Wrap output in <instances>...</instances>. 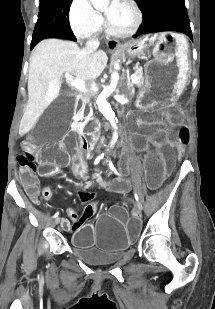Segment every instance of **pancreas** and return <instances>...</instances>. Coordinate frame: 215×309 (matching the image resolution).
I'll return each instance as SVG.
<instances>
[{
	"instance_id": "cf45deb5",
	"label": "pancreas",
	"mask_w": 215,
	"mask_h": 309,
	"mask_svg": "<svg viewBox=\"0 0 215 309\" xmlns=\"http://www.w3.org/2000/svg\"><path fill=\"white\" fill-rule=\"evenodd\" d=\"M134 74H136V76H138V80L137 82H128V88H130V90H134V84L135 86H143L144 84V76H143V70H138V68H136ZM81 114H83V110L81 112ZM89 116H91L90 112L88 114V116H86V118H89Z\"/></svg>"
}]
</instances>
